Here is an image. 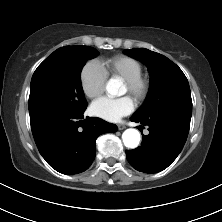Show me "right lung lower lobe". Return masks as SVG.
Returning <instances> with one entry per match:
<instances>
[{"instance_id": "right-lung-lower-lobe-1", "label": "right lung lower lobe", "mask_w": 222, "mask_h": 222, "mask_svg": "<svg viewBox=\"0 0 222 222\" xmlns=\"http://www.w3.org/2000/svg\"><path fill=\"white\" fill-rule=\"evenodd\" d=\"M84 111L47 112L30 118L40 154L60 173L72 175L88 169L95 159L97 137L118 130L116 125L100 118L80 120Z\"/></svg>"}]
</instances>
